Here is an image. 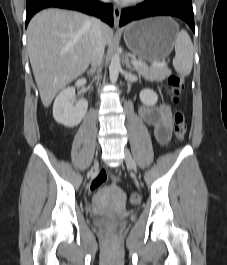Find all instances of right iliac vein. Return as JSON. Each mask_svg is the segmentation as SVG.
<instances>
[{
    "instance_id": "obj_1",
    "label": "right iliac vein",
    "mask_w": 227,
    "mask_h": 265,
    "mask_svg": "<svg viewBox=\"0 0 227 265\" xmlns=\"http://www.w3.org/2000/svg\"><path fill=\"white\" fill-rule=\"evenodd\" d=\"M97 164H98L97 161H95L94 166H97Z\"/></svg>"
}]
</instances>
